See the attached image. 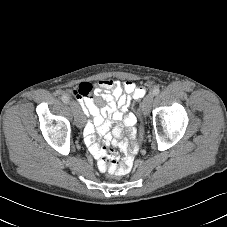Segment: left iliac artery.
I'll return each mask as SVG.
<instances>
[{
  "label": "left iliac artery",
  "mask_w": 227,
  "mask_h": 227,
  "mask_svg": "<svg viewBox=\"0 0 227 227\" xmlns=\"http://www.w3.org/2000/svg\"><path fill=\"white\" fill-rule=\"evenodd\" d=\"M159 93H160L159 87H156V88L153 89V94L154 95H158Z\"/></svg>",
  "instance_id": "obj_1"
}]
</instances>
